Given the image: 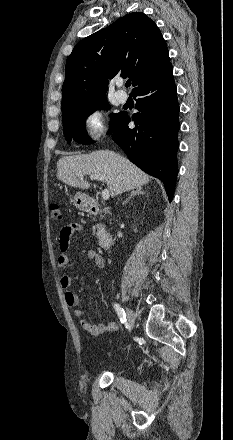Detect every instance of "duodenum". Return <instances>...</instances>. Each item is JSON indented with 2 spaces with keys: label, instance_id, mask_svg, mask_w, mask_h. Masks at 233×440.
I'll use <instances>...</instances> for the list:
<instances>
[{
  "label": "duodenum",
  "instance_id": "duodenum-1",
  "mask_svg": "<svg viewBox=\"0 0 233 440\" xmlns=\"http://www.w3.org/2000/svg\"><path fill=\"white\" fill-rule=\"evenodd\" d=\"M106 212H107V209L103 208L101 206H95L91 209V213L94 215H101ZM98 241H99L100 247L107 249L112 244V236L105 231H100L99 235H98Z\"/></svg>",
  "mask_w": 233,
  "mask_h": 440
}]
</instances>
